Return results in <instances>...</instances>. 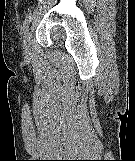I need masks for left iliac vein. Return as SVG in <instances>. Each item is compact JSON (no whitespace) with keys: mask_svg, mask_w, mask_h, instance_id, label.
Masks as SVG:
<instances>
[{"mask_svg":"<svg viewBox=\"0 0 135 161\" xmlns=\"http://www.w3.org/2000/svg\"><path fill=\"white\" fill-rule=\"evenodd\" d=\"M31 44H32V34L28 30L23 36V50L26 56H29L31 53Z\"/></svg>","mask_w":135,"mask_h":161,"instance_id":"4c4485c4","label":"left iliac vein"}]
</instances>
